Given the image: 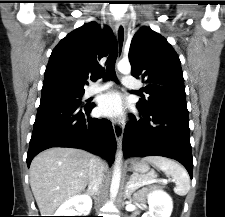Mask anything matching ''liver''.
Listing matches in <instances>:
<instances>
[{
	"instance_id": "liver-1",
	"label": "liver",
	"mask_w": 225,
	"mask_h": 217,
	"mask_svg": "<svg viewBox=\"0 0 225 217\" xmlns=\"http://www.w3.org/2000/svg\"><path fill=\"white\" fill-rule=\"evenodd\" d=\"M92 158L84 150L55 147L39 153L32 160L30 186L41 216H52L64 201L85 189ZM103 165L105 172L108 167Z\"/></svg>"
}]
</instances>
